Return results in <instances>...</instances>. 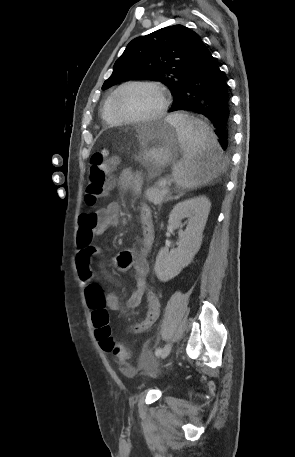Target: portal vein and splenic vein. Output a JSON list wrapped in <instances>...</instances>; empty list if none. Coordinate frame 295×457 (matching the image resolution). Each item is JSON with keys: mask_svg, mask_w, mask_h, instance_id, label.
Masks as SVG:
<instances>
[{"mask_svg": "<svg viewBox=\"0 0 295 457\" xmlns=\"http://www.w3.org/2000/svg\"><path fill=\"white\" fill-rule=\"evenodd\" d=\"M166 184H167V180L162 179V180L160 181V185L166 186Z\"/></svg>", "mask_w": 295, "mask_h": 457, "instance_id": "obj_1", "label": "portal vein and splenic vein"}]
</instances>
